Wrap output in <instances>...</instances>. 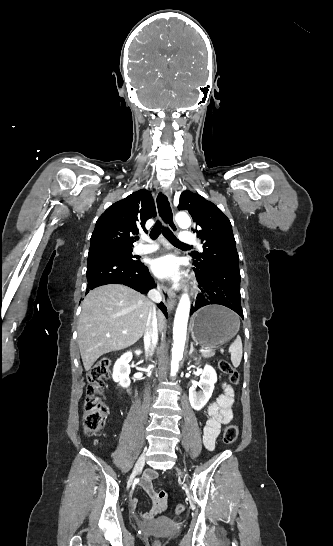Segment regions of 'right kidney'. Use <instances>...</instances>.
I'll use <instances>...</instances> for the list:
<instances>
[{
    "label": "right kidney",
    "instance_id": "ca27d5eb",
    "mask_svg": "<svg viewBox=\"0 0 333 546\" xmlns=\"http://www.w3.org/2000/svg\"><path fill=\"white\" fill-rule=\"evenodd\" d=\"M137 355L141 354V350L135 352ZM132 359V352L124 353L115 363L113 367V380L119 383L122 387L130 385V365L129 362Z\"/></svg>",
    "mask_w": 333,
    "mask_h": 546
}]
</instances>
